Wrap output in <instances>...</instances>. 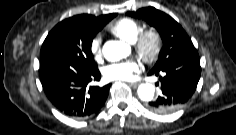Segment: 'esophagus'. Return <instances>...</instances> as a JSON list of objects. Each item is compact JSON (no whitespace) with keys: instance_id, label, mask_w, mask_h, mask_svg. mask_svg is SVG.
<instances>
[{"instance_id":"obj_1","label":"esophagus","mask_w":236,"mask_h":135,"mask_svg":"<svg viewBox=\"0 0 236 135\" xmlns=\"http://www.w3.org/2000/svg\"><path fill=\"white\" fill-rule=\"evenodd\" d=\"M140 84V82H129V85L133 87H137Z\"/></svg>"}]
</instances>
